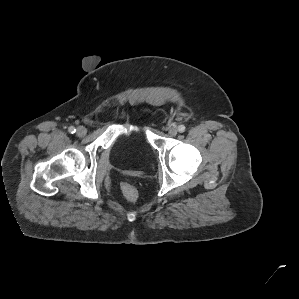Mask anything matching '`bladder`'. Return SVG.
I'll return each mask as SVG.
<instances>
[{
    "label": "bladder",
    "instance_id": "31cf9c89",
    "mask_svg": "<svg viewBox=\"0 0 299 299\" xmlns=\"http://www.w3.org/2000/svg\"><path fill=\"white\" fill-rule=\"evenodd\" d=\"M113 149L122 157V163L127 168H134L140 158L149 155V147L139 132L126 137H120L114 143Z\"/></svg>",
    "mask_w": 299,
    "mask_h": 299
}]
</instances>
